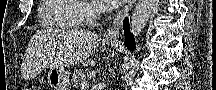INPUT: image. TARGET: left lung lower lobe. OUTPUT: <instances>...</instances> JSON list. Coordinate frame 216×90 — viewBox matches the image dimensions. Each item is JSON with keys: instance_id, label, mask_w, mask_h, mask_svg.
<instances>
[{"instance_id": "1", "label": "left lung lower lobe", "mask_w": 216, "mask_h": 90, "mask_svg": "<svg viewBox=\"0 0 216 90\" xmlns=\"http://www.w3.org/2000/svg\"><path fill=\"white\" fill-rule=\"evenodd\" d=\"M123 25H124V31H125V37H126L125 45L130 50H134V48H135L134 37L130 33L128 18H125V20L123 21Z\"/></svg>"}]
</instances>
